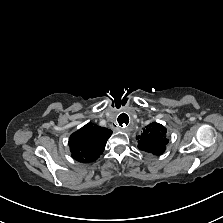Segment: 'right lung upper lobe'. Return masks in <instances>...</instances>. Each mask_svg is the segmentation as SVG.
I'll return each mask as SVG.
<instances>
[{
  "instance_id": "cb5924a9",
  "label": "right lung upper lobe",
  "mask_w": 223,
  "mask_h": 223,
  "mask_svg": "<svg viewBox=\"0 0 223 223\" xmlns=\"http://www.w3.org/2000/svg\"><path fill=\"white\" fill-rule=\"evenodd\" d=\"M112 131L93 123H88L69 138L72 157L83 163H90L99 158Z\"/></svg>"
}]
</instances>
